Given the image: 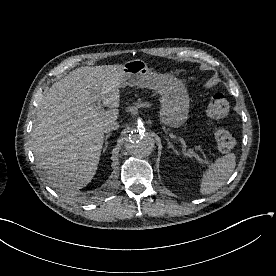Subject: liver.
Listing matches in <instances>:
<instances>
[{"mask_svg":"<svg viewBox=\"0 0 276 276\" xmlns=\"http://www.w3.org/2000/svg\"><path fill=\"white\" fill-rule=\"evenodd\" d=\"M122 69L120 64L77 68L54 83L39 104L32 132L35 159L63 194L75 196L96 173L103 126L119 115ZM97 100L112 109L97 111Z\"/></svg>","mask_w":276,"mask_h":276,"instance_id":"1","label":"liver"}]
</instances>
